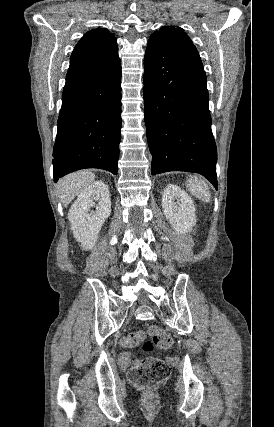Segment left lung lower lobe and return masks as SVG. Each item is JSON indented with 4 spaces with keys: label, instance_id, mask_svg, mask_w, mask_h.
Returning a JSON list of instances; mask_svg holds the SVG:
<instances>
[{
    "label": "left lung lower lobe",
    "instance_id": "left-lung-lower-lobe-1",
    "mask_svg": "<svg viewBox=\"0 0 274 427\" xmlns=\"http://www.w3.org/2000/svg\"><path fill=\"white\" fill-rule=\"evenodd\" d=\"M143 81L151 174L200 173L217 189V149L200 58L149 38Z\"/></svg>",
    "mask_w": 274,
    "mask_h": 427
}]
</instances>
